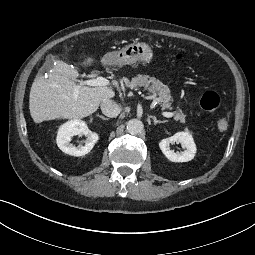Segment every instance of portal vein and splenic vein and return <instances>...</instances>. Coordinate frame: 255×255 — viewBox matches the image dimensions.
I'll list each match as a JSON object with an SVG mask.
<instances>
[{
  "label": "portal vein and splenic vein",
  "instance_id": "18ae733b",
  "mask_svg": "<svg viewBox=\"0 0 255 255\" xmlns=\"http://www.w3.org/2000/svg\"><path fill=\"white\" fill-rule=\"evenodd\" d=\"M83 85H88V86H108L110 85V82L104 78V77H97L96 79H90V80H86L82 83ZM157 103V101H155V104ZM162 115L164 117H172L174 115V113L172 112H162Z\"/></svg>",
  "mask_w": 255,
  "mask_h": 255
}]
</instances>
